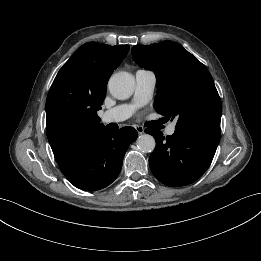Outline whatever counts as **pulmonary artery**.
I'll use <instances>...</instances> for the list:
<instances>
[{
    "label": "pulmonary artery",
    "mask_w": 261,
    "mask_h": 261,
    "mask_svg": "<svg viewBox=\"0 0 261 261\" xmlns=\"http://www.w3.org/2000/svg\"><path fill=\"white\" fill-rule=\"evenodd\" d=\"M136 86L132 102L115 106L102 115L104 123H117L131 117L137 108L145 105L151 98L156 85L155 73L149 70H138L135 74ZM175 132V123H171L166 133L173 135Z\"/></svg>",
    "instance_id": "e3ab8cb5"
}]
</instances>
